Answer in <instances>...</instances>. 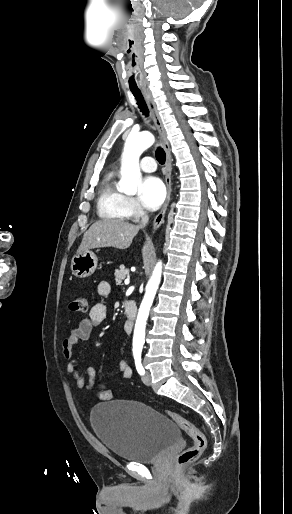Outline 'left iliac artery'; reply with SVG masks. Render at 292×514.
Instances as JSON below:
<instances>
[{
  "label": "left iliac artery",
  "instance_id": "obj_1",
  "mask_svg": "<svg viewBox=\"0 0 292 514\" xmlns=\"http://www.w3.org/2000/svg\"><path fill=\"white\" fill-rule=\"evenodd\" d=\"M134 360H135V366L136 370L140 375L145 374V370L141 363V353L140 352H134Z\"/></svg>",
  "mask_w": 292,
  "mask_h": 514
}]
</instances>
